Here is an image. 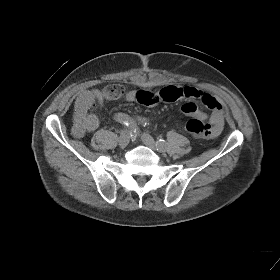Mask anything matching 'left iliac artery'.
<instances>
[{"label": "left iliac artery", "mask_w": 280, "mask_h": 280, "mask_svg": "<svg viewBox=\"0 0 280 280\" xmlns=\"http://www.w3.org/2000/svg\"><path fill=\"white\" fill-rule=\"evenodd\" d=\"M139 120L141 121V119H139ZM141 123H143L144 126H146L147 124L149 125V123H147V122L145 121V119H143V120L141 121ZM156 144H157L158 148H160V149H165V148H166V142H165L163 139H158L157 142H156Z\"/></svg>", "instance_id": "1"}]
</instances>
